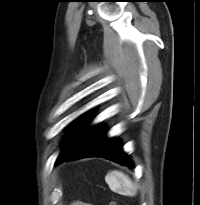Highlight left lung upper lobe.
I'll list each match as a JSON object with an SVG mask.
<instances>
[{"mask_svg":"<svg viewBox=\"0 0 200 205\" xmlns=\"http://www.w3.org/2000/svg\"><path fill=\"white\" fill-rule=\"evenodd\" d=\"M85 115V114H84ZM83 116L79 117L78 119L82 118ZM86 124L82 127L74 130L72 135H70L67 140H65V145L56 161V165L60 164L61 160H63L66 156H68L86 137L89 133L91 128L84 129Z\"/></svg>","mask_w":200,"mask_h":205,"instance_id":"5c2ea615","label":"left lung upper lobe"}]
</instances>
